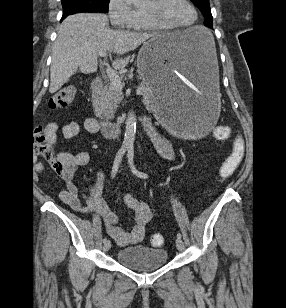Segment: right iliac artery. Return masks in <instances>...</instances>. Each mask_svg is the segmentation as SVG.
<instances>
[{
	"label": "right iliac artery",
	"instance_id": "right-iliac-artery-1",
	"mask_svg": "<svg viewBox=\"0 0 286 308\" xmlns=\"http://www.w3.org/2000/svg\"><path fill=\"white\" fill-rule=\"evenodd\" d=\"M127 148H128L127 146L123 145L119 149L118 153L116 154V157H115V160H114V164H113V167H112V171H111V178L115 177V175H116V173L118 171L119 165H120V163L122 161V158H123ZM106 241H108L107 238L106 237L103 238V243H105Z\"/></svg>",
	"mask_w": 286,
	"mask_h": 308
}]
</instances>
